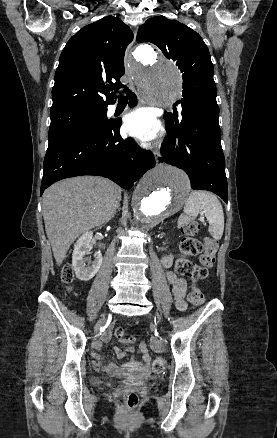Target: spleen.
I'll return each instance as SVG.
<instances>
[{"label":"spleen","instance_id":"3e777b00","mask_svg":"<svg viewBox=\"0 0 277 438\" xmlns=\"http://www.w3.org/2000/svg\"><path fill=\"white\" fill-rule=\"evenodd\" d=\"M185 214L188 216H198L199 212H204L209 222V232L214 240H221L224 232L223 208L216 196L204 190L191 192L185 206Z\"/></svg>","mask_w":277,"mask_h":438}]
</instances>
